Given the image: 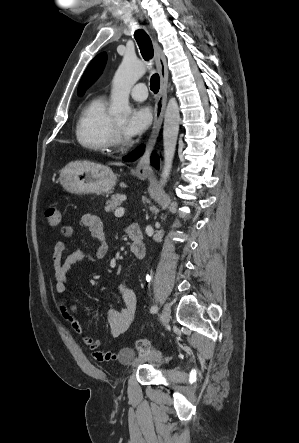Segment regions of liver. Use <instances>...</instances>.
<instances>
[{"mask_svg": "<svg viewBox=\"0 0 299 443\" xmlns=\"http://www.w3.org/2000/svg\"><path fill=\"white\" fill-rule=\"evenodd\" d=\"M88 164H93V163H89V162H87ZM114 165H121V163H119V162H116V163H113Z\"/></svg>", "mask_w": 299, "mask_h": 443, "instance_id": "obj_1", "label": "liver"}]
</instances>
